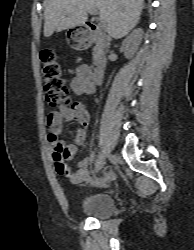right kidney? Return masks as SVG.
I'll use <instances>...</instances> for the list:
<instances>
[{"instance_id": "obj_1", "label": "right kidney", "mask_w": 194, "mask_h": 250, "mask_svg": "<svg viewBox=\"0 0 194 250\" xmlns=\"http://www.w3.org/2000/svg\"><path fill=\"white\" fill-rule=\"evenodd\" d=\"M143 36V30L137 29L134 30L124 41L122 42V46L124 48V55L126 58H131L138 50V47L141 43Z\"/></svg>"}]
</instances>
